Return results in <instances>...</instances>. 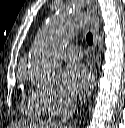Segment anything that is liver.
I'll return each mask as SVG.
<instances>
[{
    "label": "liver",
    "mask_w": 125,
    "mask_h": 128,
    "mask_svg": "<svg viewBox=\"0 0 125 128\" xmlns=\"http://www.w3.org/2000/svg\"><path fill=\"white\" fill-rule=\"evenodd\" d=\"M18 126H19V127L22 126L23 128H24V127H28V126H26V124H19Z\"/></svg>",
    "instance_id": "liver-1"
}]
</instances>
